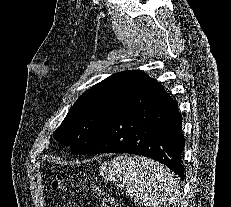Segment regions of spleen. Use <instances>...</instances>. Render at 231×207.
I'll return each instance as SVG.
<instances>
[{
	"label": "spleen",
	"instance_id": "obj_1",
	"mask_svg": "<svg viewBox=\"0 0 231 207\" xmlns=\"http://www.w3.org/2000/svg\"><path fill=\"white\" fill-rule=\"evenodd\" d=\"M100 173L123 182L135 201L148 207H174L181 202L179 185L163 166L138 156H118L102 163Z\"/></svg>",
	"mask_w": 231,
	"mask_h": 207
}]
</instances>
